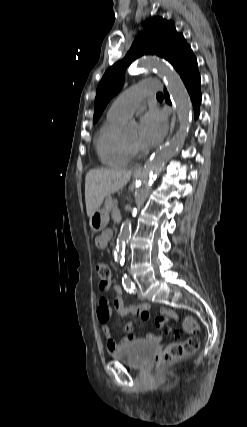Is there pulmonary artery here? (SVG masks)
Segmentation results:
<instances>
[{
  "label": "pulmonary artery",
  "mask_w": 247,
  "mask_h": 427,
  "mask_svg": "<svg viewBox=\"0 0 247 427\" xmlns=\"http://www.w3.org/2000/svg\"><path fill=\"white\" fill-rule=\"evenodd\" d=\"M158 89V83L153 80L132 85L114 100L108 110V116L120 119L128 118L146 95L156 92Z\"/></svg>",
  "instance_id": "1"
}]
</instances>
